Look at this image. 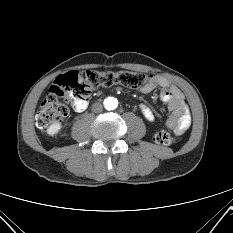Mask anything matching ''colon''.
Masks as SVG:
<instances>
[{
	"label": "colon",
	"instance_id": "obj_1",
	"mask_svg": "<svg viewBox=\"0 0 233 233\" xmlns=\"http://www.w3.org/2000/svg\"><path fill=\"white\" fill-rule=\"evenodd\" d=\"M149 81L144 73L120 71L101 72L86 70L69 71L60 75L43 99L35 116L36 126L45 131L51 124L61 121L78 102L88 100L92 92L99 87L122 85L128 88H142ZM155 143L168 146L178 142L177 135L158 131L153 135Z\"/></svg>",
	"mask_w": 233,
	"mask_h": 233
}]
</instances>
